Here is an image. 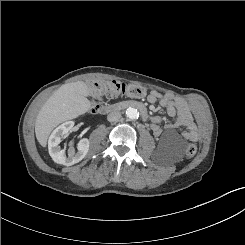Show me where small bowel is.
Instances as JSON below:
<instances>
[{
    "mask_svg": "<svg viewBox=\"0 0 245 245\" xmlns=\"http://www.w3.org/2000/svg\"><path fill=\"white\" fill-rule=\"evenodd\" d=\"M148 101L150 103L158 102L161 106L166 108L170 117H176V121L174 123L167 124L166 129L170 130L177 127H184L182 132L183 138L190 141H197L199 139L200 134L197 125L185 101L172 94L161 95L157 92H151L148 95ZM161 123L162 119L159 116L152 117L151 130L157 138L160 137L163 132L160 126Z\"/></svg>",
    "mask_w": 245,
    "mask_h": 245,
    "instance_id": "small-bowel-1",
    "label": "small bowel"
}]
</instances>
